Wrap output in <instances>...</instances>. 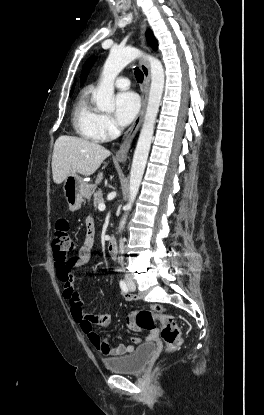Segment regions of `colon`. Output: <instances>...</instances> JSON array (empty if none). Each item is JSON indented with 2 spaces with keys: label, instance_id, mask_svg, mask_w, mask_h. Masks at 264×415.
Listing matches in <instances>:
<instances>
[{
  "label": "colon",
  "instance_id": "obj_1",
  "mask_svg": "<svg viewBox=\"0 0 264 415\" xmlns=\"http://www.w3.org/2000/svg\"><path fill=\"white\" fill-rule=\"evenodd\" d=\"M53 249L57 262L64 261L74 249L67 219H60L56 224ZM153 312H156L157 315L154 316ZM134 320L139 327L146 329H153L157 322L161 323L163 326L161 335L167 350H176L182 344L181 331L176 319L172 315L161 312L160 308L154 307L152 311H140L134 315Z\"/></svg>",
  "mask_w": 264,
  "mask_h": 415
}]
</instances>
